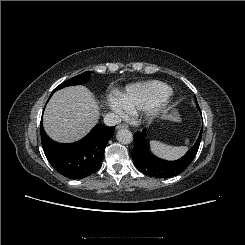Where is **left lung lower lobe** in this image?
<instances>
[{
    "label": "left lung lower lobe",
    "instance_id": "1",
    "mask_svg": "<svg viewBox=\"0 0 245 245\" xmlns=\"http://www.w3.org/2000/svg\"><path fill=\"white\" fill-rule=\"evenodd\" d=\"M146 129L134 134L132 158L135 166L142 173L158 178H168L182 173L194 159L202 137V129L194 146L180 159L165 161L152 156L145 143Z\"/></svg>",
    "mask_w": 245,
    "mask_h": 245
}]
</instances>
